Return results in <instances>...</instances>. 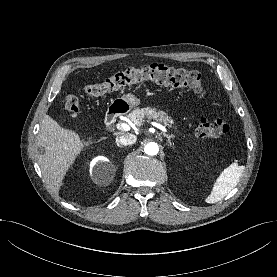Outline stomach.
I'll return each instance as SVG.
<instances>
[{
    "label": "stomach",
    "instance_id": "obj_1",
    "mask_svg": "<svg viewBox=\"0 0 277 277\" xmlns=\"http://www.w3.org/2000/svg\"><path fill=\"white\" fill-rule=\"evenodd\" d=\"M141 104V100L132 93L113 99L111 107L119 112H128Z\"/></svg>",
    "mask_w": 277,
    "mask_h": 277
}]
</instances>
